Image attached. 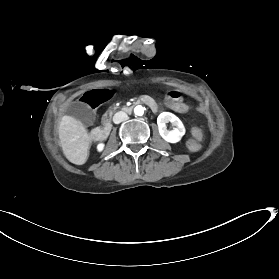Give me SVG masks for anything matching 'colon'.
<instances>
[{
	"label": "colon",
	"instance_id": "colon-1",
	"mask_svg": "<svg viewBox=\"0 0 279 279\" xmlns=\"http://www.w3.org/2000/svg\"><path fill=\"white\" fill-rule=\"evenodd\" d=\"M191 134H192V137L194 139H201L202 138V132L199 128H192L191 130Z\"/></svg>",
	"mask_w": 279,
	"mask_h": 279
}]
</instances>
